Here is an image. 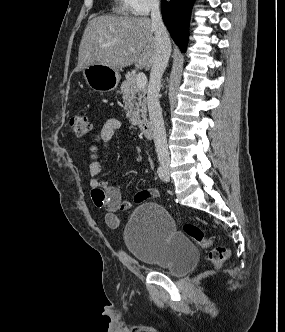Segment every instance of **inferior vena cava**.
Masks as SVG:
<instances>
[{"label": "inferior vena cava", "mask_w": 285, "mask_h": 332, "mask_svg": "<svg viewBox=\"0 0 285 332\" xmlns=\"http://www.w3.org/2000/svg\"><path fill=\"white\" fill-rule=\"evenodd\" d=\"M151 21L155 35L156 55L151 66L147 105L149 119L153 128L154 143L158 160L160 163L168 164L170 162V154L168 151L166 131L159 102V91L162 74L168 64L171 54V43L168 31L162 21L159 0H152Z\"/></svg>", "instance_id": "602c4592"}]
</instances>
